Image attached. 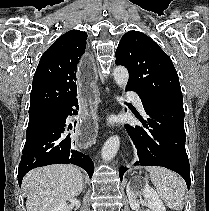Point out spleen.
<instances>
[{"label": "spleen", "mask_w": 209, "mask_h": 211, "mask_svg": "<svg viewBox=\"0 0 209 211\" xmlns=\"http://www.w3.org/2000/svg\"><path fill=\"white\" fill-rule=\"evenodd\" d=\"M151 182L159 197L172 210L180 211L184 207L185 184L175 172L163 167L148 168Z\"/></svg>", "instance_id": "obj_1"}]
</instances>
